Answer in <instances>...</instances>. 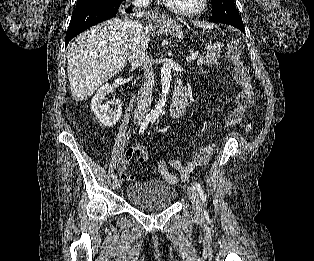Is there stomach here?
<instances>
[{"mask_svg": "<svg viewBox=\"0 0 314 261\" xmlns=\"http://www.w3.org/2000/svg\"><path fill=\"white\" fill-rule=\"evenodd\" d=\"M167 30L173 33L175 36H178L179 38L183 37L180 27L175 22H171Z\"/></svg>", "mask_w": 314, "mask_h": 261, "instance_id": "obj_1", "label": "stomach"}]
</instances>
